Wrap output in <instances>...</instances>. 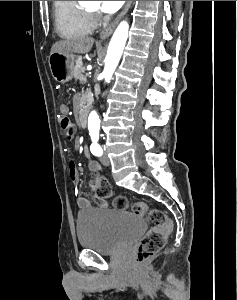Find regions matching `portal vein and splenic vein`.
Segmentation results:
<instances>
[{
  "label": "portal vein and splenic vein",
  "instance_id": "portal-vein-and-splenic-vein-1",
  "mask_svg": "<svg viewBox=\"0 0 237 300\" xmlns=\"http://www.w3.org/2000/svg\"><path fill=\"white\" fill-rule=\"evenodd\" d=\"M82 75H83V74H82ZM79 80H80V81H86V77H83V76H82V77H79Z\"/></svg>",
  "mask_w": 237,
  "mask_h": 300
}]
</instances>
